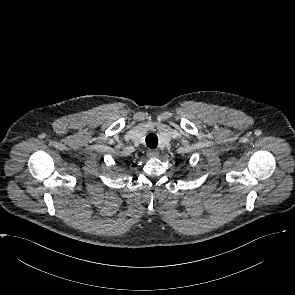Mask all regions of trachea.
<instances>
[{
	"instance_id": "obj_1",
	"label": "trachea",
	"mask_w": 295,
	"mask_h": 295,
	"mask_svg": "<svg viewBox=\"0 0 295 295\" xmlns=\"http://www.w3.org/2000/svg\"><path fill=\"white\" fill-rule=\"evenodd\" d=\"M146 145L149 148H156L158 145V137L154 133H150L146 137Z\"/></svg>"
}]
</instances>
